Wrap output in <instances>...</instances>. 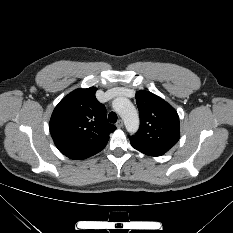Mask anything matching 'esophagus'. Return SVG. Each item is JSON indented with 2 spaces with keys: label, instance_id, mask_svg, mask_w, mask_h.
Listing matches in <instances>:
<instances>
[{
  "label": "esophagus",
  "instance_id": "34e87169",
  "mask_svg": "<svg viewBox=\"0 0 233 233\" xmlns=\"http://www.w3.org/2000/svg\"><path fill=\"white\" fill-rule=\"evenodd\" d=\"M116 127L117 128H122L123 127V121L121 119H119L116 123Z\"/></svg>",
  "mask_w": 233,
  "mask_h": 233
}]
</instances>
